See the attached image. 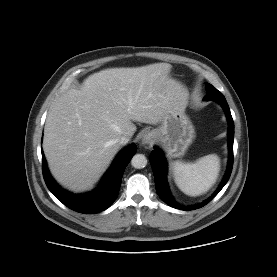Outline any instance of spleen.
<instances>
[{
    "label": "spleen",
    "instance_id": "obj_1",
    "mask_svg": "<svg viewBox=\"0 0 277 277\" xmlns=\"http://www.w3.org/2000/svg\"><path fill=\"white\" fill-rule=\"evenodd\" d=\"M172 167L179 189L189 196H198L215 184L220 171V159L216 154H209L195 163L175 161Z\"/></svg>",
    "mask_w": 277,
    "mask_h": 277
}]
</instances>
